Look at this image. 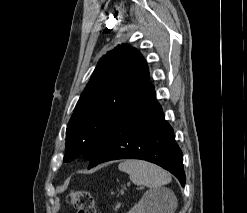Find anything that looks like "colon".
<instances>
[{"mask_svg": "<svg viewBox=\"0 0 247 213\" xmlns=\"http://www.w3.org/2000/svg\"><path fill=\"white\" fill-rule=\"evenodd\" d=\"M69 202L77 213H96L94 198L89 191H73L69 196Z\"/></svg>", "mask_w": 247, "mask_h": 213, "instance_id": "5ec220e1", "label": "colon"}]
</instances>
